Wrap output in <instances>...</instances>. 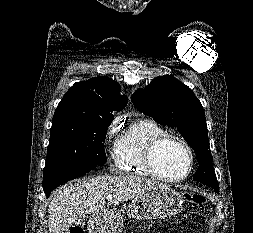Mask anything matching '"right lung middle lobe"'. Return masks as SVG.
I'll return each mask as SVG.
<instances>
[{
    "label": "right lung middle lobe",
    "mask_w": 253,
    "mask_h": 233,
    "mask_svg": "<svg viewBox=\"0 0 253 233\" xmlns=\"http://www.w3.org/2000/svg\"><path fill=\"white\" fill-rule=\"evenodd\" d=\"M112 120V116L56 110L43 174L66 166L105 164L103 142Z\"/></svg>",
    "instance_id": "right-lung-middle-lobe-1"
}]
</instances>
